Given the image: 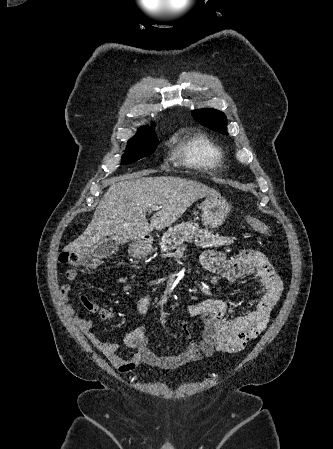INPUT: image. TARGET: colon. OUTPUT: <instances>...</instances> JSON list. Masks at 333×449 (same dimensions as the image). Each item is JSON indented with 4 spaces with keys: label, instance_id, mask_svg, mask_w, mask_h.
Segmentation results:
<instances>
[{
    "label": "colon",
    "instance_id": "1",
    "mask_svg": "<svg viewBox=\"0 0 333 449\" xmlns=\"http://www.w3.org/2000/svg\"><path fill=\"white\" fill-rule=\"evenodd\" d=\"M246 221L250 227L263 235H270L271 229L264 222L254 216L247 215ZM59 260L61 263L74 266L83 267L87 270H94L101 266L102 259L86 251H64L60 254Z\"/></svg>",
    "mask_w": 333,
    "mask_h": 449
}]
</instances>
